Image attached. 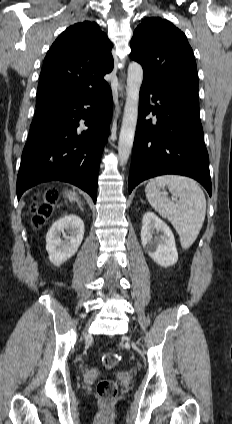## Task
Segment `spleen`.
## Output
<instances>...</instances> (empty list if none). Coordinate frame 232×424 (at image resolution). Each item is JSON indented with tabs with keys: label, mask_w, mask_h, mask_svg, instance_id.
I'll list each match as a JSON object with an SVG mask.
<instances>
[{
	"label": "spleen",
	"mask_w": 232,
	"mask_h": 424,
	"mask_svg": "<svg viewBox=\"0 0 232 424\" xmlns=\"http://www.w3.org/2000/svg\"><path fill=\"white\" fill-rule=\"evenodd\" d=\"M165 185L175 201L162 195L160 188ZM145 192L149 204L175 228L182 248H190L202 228L206 214L205 195L197 182L185 176L163 175L150 180Z\"/></svg>",
	"instance_id": "obj_1"
}]
</instances>
